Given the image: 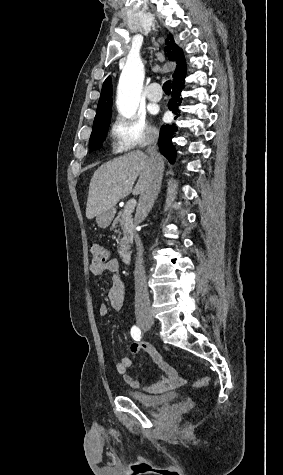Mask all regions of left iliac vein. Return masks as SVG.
<instances>
[{
	"label": "left iliac vein",
	"mask_w": 283,
	"mask_h": 475,
	"mask_svg": "<svg viewBox=\"0 0 283 475\" xmlns=\"http://www.w3.org/2000/svg\"><path fill=\"white\" fill-rule=\"evenodd\" d=\"M149 328H150V326H145L144 330L147 331V330H149Z\"/></svg>",
	"instance_id": "1"
}]
</instances>
